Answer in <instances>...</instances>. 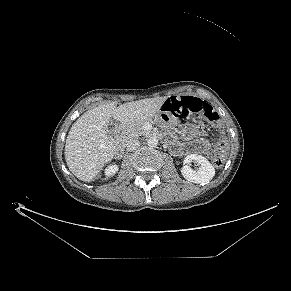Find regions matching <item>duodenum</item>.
I'll return each instance as SVG.
<instances>
[{
	"label": "duodenum",
	"mask_w": 291,
	"mask_h": 291,
	"mask_svg": "<svg viewBox=\"0 0 291 291\" xmlns=\"http://www.w3.org/2000/svg\"><path fill=\"white\" fill-rule=\"evenodd\" d=\"M124 150V141H119L116 147V157H121Z\"/></svg>",
	"instance_id": "duodenum-1"
}]
</instances>
